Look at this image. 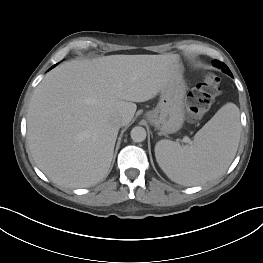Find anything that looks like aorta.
I'll return each instance as SVG.
<instances>
[{"instance_id": "aorta-1", "label": "aorta", "mask_w": 263, "mask_h": 263, "mask_svg": "<svg viewBox=\"0 0 263 263\" xmlns=\"http://www.w3.org/2000/svg\"><path fill=\"white\" fill-rule=\"evenodd\" d=\"M146 135L145 128L141 126L134 127L130 132L131 139L134 142H143L146 139Z\"/></svg>"}]
</instances>
